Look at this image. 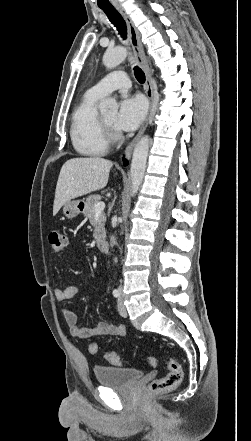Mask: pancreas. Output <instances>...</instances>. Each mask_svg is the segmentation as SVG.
Masks as SVG:
<instances>
[{"instance_id": "1", "label": "pancreas", "mask_w": 251, "mask_h": 441, "mask_svg": "<svg viewBox=\"0 0 251 441\" xmlns=\"http://www.w3.org/2000/svg\"><path fill=\"white\" fill-rule=\"evenodd\" d=\"M101 197L99 195H90L86 198L85 209L83 211L84 216L89 219L91 225L94 227L93 237L96 240H101L105 237V222L106 215L105 213H101L97 222L94 221L95 217V209L94 205L97 202H100Z\"/></svg>"}]
</instances>
